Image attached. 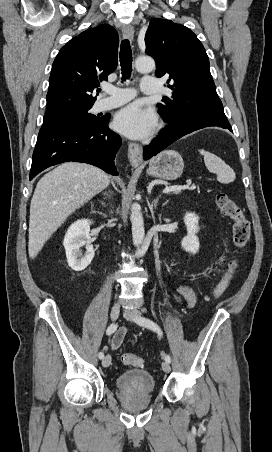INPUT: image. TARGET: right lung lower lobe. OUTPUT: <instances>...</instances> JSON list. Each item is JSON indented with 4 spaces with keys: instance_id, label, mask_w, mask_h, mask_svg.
<instances>
[{
    "instance_id": "obj_1",
    "label": "right lung lower lobe",
    "mask_w": 272,
    "mask_h": 452,
    "mask_svg": "<svg viewBox=\"0 0 272 452\" xmlns=\"http://www.w3.org/2000/svg\"><path fill=\"white\" fill-rule=\"evenodd\" d=\"M109 119L104 116L92 123L44 121L33 152L29 179L50 166L68 161L92 164L118 175L114 158L122 140L109 129Z\"/></svg>"
}]
</instances>
